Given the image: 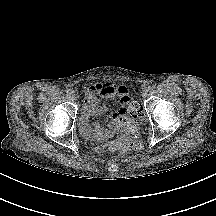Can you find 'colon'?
<instances>
[{
  "label": "colon",
  "instance_id": "colon-1",
  "mask_svg": "<svg viewBox=\"0 0 216 216\" xmlns=\"http://www.w3.org/2000/svg\"><path fill=\"white\" fill-rule=\"evenodd\" d=\"M144 117L143 106L139 102H131L126 107L124 113L120 115L113 124V128L117 131L135 132L140 121ZM141 143L130 139L123 138L110 142L109 148L113 151L119 152L121 155H129L134 151L140 149Z\"/></svg>",
  "mask_w": 216,
  "mask_h": 216
}]
</instances>
